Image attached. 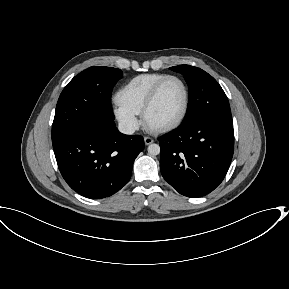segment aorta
<instances>
[{"instance_id": "762f6f07", "label": "aorta", "mask_w": 289, "mask_h": 289, "mask_svg": "<svg viewBox=\"0 0 289 289\" xmlns=\"http://www.w3.org/2000/svg\"><path fill=\"white\" fill-rule=\"evenodd\" d=\"M148 153L152 156L160 154V146L158 144H150L148 146Z\"/></svg>"}]
</instances>
